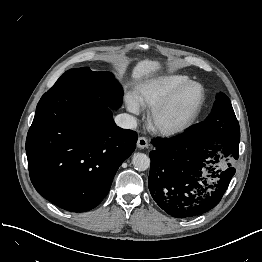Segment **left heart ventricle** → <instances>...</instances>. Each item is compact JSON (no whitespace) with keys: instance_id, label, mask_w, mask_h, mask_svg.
I'll return each instance as SVG.
<instances>
[{"instance_id":"1","label":"left heart ventricle","mask_w":262,"mask_h":262,"mask_svg":"<svg viewBox=\"0 0 262 262\" xmlns=\"http://www.w3.org/2000/svg\"><path fill=\"white\" fill-rule=\"evenodd\" d=\"M200 97L201 89L199 86H188L181 92L177 100L161 114V122L165 124H176L184 121L192 114Z\"/></svg>"}]
</instances>
